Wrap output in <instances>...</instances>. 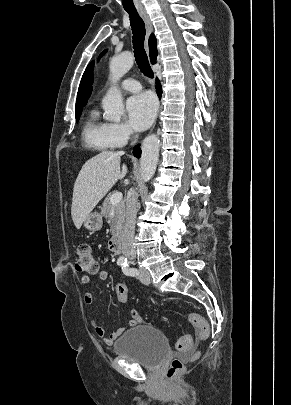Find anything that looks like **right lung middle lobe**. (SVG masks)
<instances>
[{
  "mask_svg": "<svg viewBox=\"0 0 291 405\" xmlns=\"http://www.w3.org/2000/svg\"><path fill=\"white\" fill-rule=\"evenodd\" d=\"M75 116H76V122H78L79 121V118H80V115H81V112H82V108H78V109H75Z\"/></svg>",
  "mask_w": 291,
  "mask_h": 405,
  "instance_id": "dd1d6c3e",
  "label": "right lung middle lobe"
}]
</instances>
